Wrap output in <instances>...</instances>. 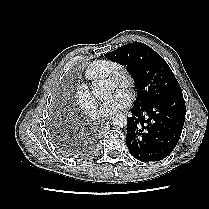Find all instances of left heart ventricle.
Masks as SVG:
<instances>
[{
    "instance_id": "1",
    "label": "left heart ventricle",
    "mask_w": 209,
    "mask_h": 209,
    "mask_svg": "<svg viewBox=\"0 0 209 209\" xmlns=\"http://www.w3.org/2000/svg\"><path fill=\"white\" fill-rule=\"evenodd\" d=\"M111 88H112V89H114V86H113V85H111Z\"/></svg>"
}]
</instances>
